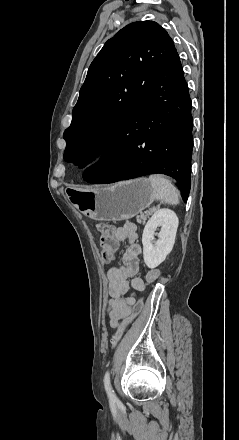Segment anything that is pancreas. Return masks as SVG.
Instances as JSON below:
<instances>
[{
	"instance_id": "cf45deb5",
	"label": "pancreas",
	"mask_w": 239,
	"mask_h": 440,
	"mask_svg": "<svg viewBox=\"0 0 239 440\" xmlns=\"http://www.w3.org/2000/svg\"><path fill=\"white\" fill-rule=\"evenodd\" d=\"M153 212L154 210H147L145 214H140V216H136L138 224H145L147 218H149V216H152Z\"/></svg>"
}]
</instances>
